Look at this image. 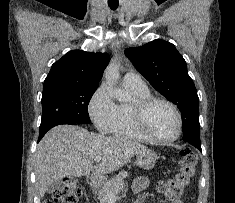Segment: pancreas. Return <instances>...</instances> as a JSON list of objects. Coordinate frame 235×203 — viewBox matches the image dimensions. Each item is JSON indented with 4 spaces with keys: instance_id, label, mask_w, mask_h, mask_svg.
Wrapping results in <instances>:
<instances>
[{
    "instance_id": "1",
    "label": "pancreas",
    "mask_w": 235,
    "mask_h": 203,
    "mask_svg": "<svg viewBox=\"0 0 235 203\" xmlns=\"http://www.w3.org/2000/svg\"><path fill=\"white\" fill-rule=\"evenodd\" d=\"M128 176V172L121 171L118 175L108 180L98 190V200L100 203H109L112 194L117 195L119 191L123 190L127 183L124 179Z\"/></svg>"
}]
</instances>
